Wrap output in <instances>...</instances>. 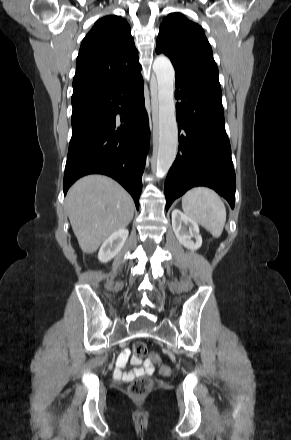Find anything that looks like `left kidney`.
<instances>
[{"instance_id": "left-kidney-1", "label": "left kidney", "mask_w": 291, "mask_h": 440, "mask_svg": "<svg viewBox=\"0 0 291 440\" xmlns=\"http://www.w3.org/2000/svg\"><path fill=\"white\" fill-rule=\"evenodd\" d=\"M172 228L177 240L185 248L197 250L201 247L202 237L199 234L198 224L179 209L172 211Z\"/></svg>"}]
</instances>
